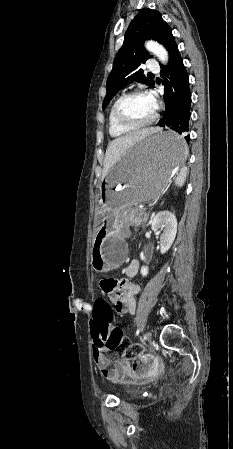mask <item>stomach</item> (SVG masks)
I'll list each match as a JSON object with an SVG mask.
<instances>
[{"mask_svg":"<svg viewBox=\"0 0 233 449\" xmlns=\"http://www.w3.org/2000/svg\"><path fill=\"white\" fill-rule=\"evenodd\" d=\"M186 156L187 146L180 133L163 128L132 145L110 169L102 181L105 209L91 258L96 272L117 269L126 258L127 224L122 211L158 198Z\"/></svg>","mask_w":233,"mask_h":449,"instance_id":"1","label":"stomach"}]
</instances>
